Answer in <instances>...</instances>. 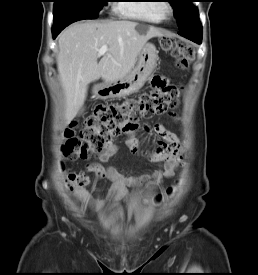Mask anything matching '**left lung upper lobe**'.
<instances>
[{
    "label": "left lung upper lobe",
    "instance_id": "1",
    "mask_svg": "<svg viewBox=\"0 0 258 275\" xmlns=\"http://www.w3.org/2000/svg\"><path fill=\"white\" fill-rule=\"evenodd\" d=\"M173 6L179 29L192 24L198 15L196 7L192 5V0H168Z\"/></svg>",
    "mask_w": 258,
    "mask_h": 275
}]
</instances>
